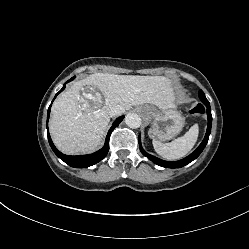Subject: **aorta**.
<instances>
[{
    "label": "aorta",
    "mask_w": 249,
    "mask_h": 249,
    "mask_svg": "<svg viewBox=\"0 0 249 249\" xmlns=\"http://www.w3.org/2000/svg\"><path fill=\"white\" fill-rule=\"evenodd\" d=\"M141 122V117L136 113H128L125 117V123L130 128L140 127Z\"/></svg>",
    "instance_id": "1"
}]
</instances>
